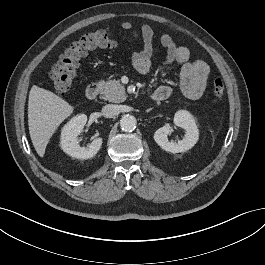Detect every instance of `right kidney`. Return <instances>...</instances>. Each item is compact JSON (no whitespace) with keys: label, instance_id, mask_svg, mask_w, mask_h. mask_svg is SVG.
I'll use <instances>...</instances> for the list:
<instances>
[{"label":"right kidney","instance_id":"1","mask_svg":"<svg viewBox=\"0 0 265 265\" xmlns=\"http://www.w3.org/2000/svg\"><path fill=\"white\" fill-rule=\"evenodd\" d=\"M87 116L80 114L73 117L62 129L60 146L61 149L71 157L77 159L92 158L100 150L102 138H96L87 148L78 145L77 137L83 131Z\"/></svg>","mask_w":265,"mask_h":265}]
</instances>
